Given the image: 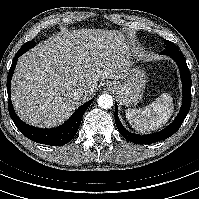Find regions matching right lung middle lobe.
Returning <instances> with one entry per match:
<instances>
[{"instance_id": "dd1d6c3e", "label": "right lung middle lobe", "mask_w": 199, "mask_h": 199, "mask_svg": "<svg viewBox=\"0 0 199 199\" xmlns=\"http://www.w3.org/2000/svg\"><path fill=\"white\" fill-rule=\"evenodd\" d=\"M34 45H35V42H34V41H28V42L25 43L23 46H25V47H26V46H29V49H30V48H32ZM23 46H22V47H23Z\"/></svg>"}]
</instances>
